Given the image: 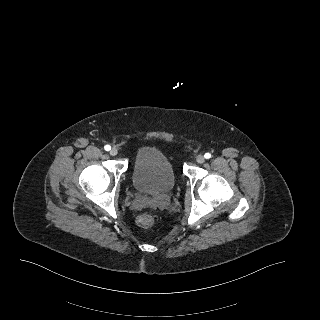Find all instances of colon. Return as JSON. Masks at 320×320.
Masks as SVG:
<instances>
[{
  "label": "colon",
  "instance_id": "colon-1",
  "mask_svg": "<svg viewBox=\"0 0 320 320\" xmlns=\"http://www.w3.org/2000/svg\"><path fill=\"white\" fill-rule=\"evenodd\" d=\"M136 222L143 228L151 227L155 223V219L150 214H141L137 217Z\"/></svg>",
  "mask_w": 320,
  "mask_h": 320
}]
</instances>
